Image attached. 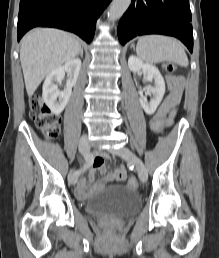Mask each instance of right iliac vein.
I'll use <instances>...</instances> for the list:
<instances>
[{
    "instance_id": "right-iliac-vein-1",
    "label": "right iliac vein",
    "mask_w": 219,
    "mask_h": 258,
    "mask_svg": "<svg viewBox=\"0 0 219 258\" xmlns=\"http://www.w3.org/2000/svg\"><path fill=\"white\" fill-rule=\"evenodd\" d=\"M78 146H79V151L82 154H86L89 151V141H88L87 135H83L79 139ZM68 181L72 185L76 184V182H77V175L75 174V172L73 170H71L69 175H68Z\"/></svg>"
}]
</instances>
